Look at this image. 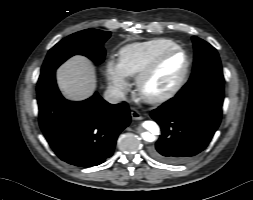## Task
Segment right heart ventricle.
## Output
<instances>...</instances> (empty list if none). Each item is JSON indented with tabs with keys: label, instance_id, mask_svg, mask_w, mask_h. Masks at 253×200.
Returning a JSON list of instances; mask_svg holds the SVG:
<instances>
[{
	"label": "right heart ventricle",
	"instance_id": "right-heart-ventricle-1",
	"mask_svg": "<svg viewBox=\"0 0 253 200\" xmlns=\"http://www.w3.org/2000/svg\"><path fill=\"white\" fill-rule=\"evenodd\" d=\"M178 45L167 38L134 42L119 51V64L126 76H137L159 53Z\"/></svg>",
	"mask_w": 253,
	"mask_h": 200
}]
</instances>
